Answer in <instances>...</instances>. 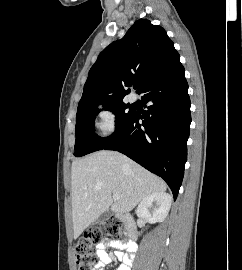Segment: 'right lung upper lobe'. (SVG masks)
Masks as SVG:
<instances>
[{
    "instance_id": "1",
    "label": "right lung upper lobe",
    "mask_w": 242,
    "mask_h": 270,
    "mask_svg": "<svg viewBox=\"0 0 242 270\" xmlns=\"http://www.w3.org/2000/svg\"><path fill=\"white\" fill-rule=\"evenodd\" d=\"M166 31L149 20L136 21L125 36L111 43L89 71L78 104L82 111L100 103L123 100L134 84L137 92L179 61Z\"/></svg>"
}]
</instances>
